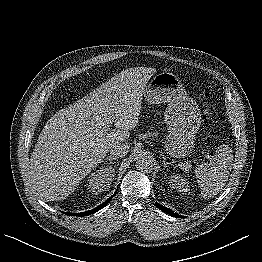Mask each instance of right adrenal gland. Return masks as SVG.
<instances>
[{
    "label": "right adrenal gland",
    "instance_id": "right-adrenal-gland-1",
    "mask_svg": "<svg viewBox=\"0 0 262 262\" xmlns=\"http://www.w3.org/2000/svg\"><path fill=\"white\" fill-rule=\"evenodd\" d=\"M116 159H117V158L112 157V156H108V157L105 158V160H108V161L110 162V164H112V163H113V160H116Z\"/></svg>",
    "mask_w": 262,
    "mask_h": 262
}]
</instances>
